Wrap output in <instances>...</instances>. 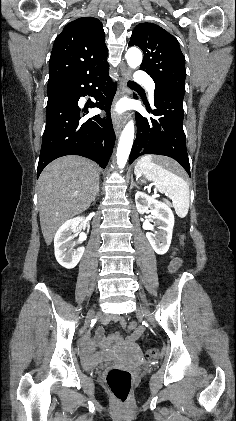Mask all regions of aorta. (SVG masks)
<instances>
[{
  "instance_id": "1",
  "label": "aorta",
  "mask_w": 236,
  "mask_h": 421,
  "mask_svg": "<svg viewBox=\"0 0 236 421\" xmlns=\"http://www.w3.org/2000/svg\"><path fill=\"white\" fill-rule=\"evenodd\" d=\"M126 60L131 68H137V66H139V64L142 62L141 50H139V48H135V46H131V48H128L126 52ZM133 138L134 122L133 120H129V122H127L126 126L123 128L118 142L116 156L119 168H124L128 160V156L133 144Z\"/></svg>"
}]
</instances>
